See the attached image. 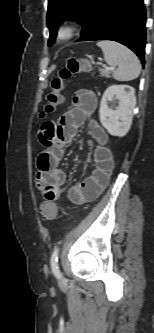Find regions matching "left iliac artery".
Instances as JSON below:
<instances>
[{
  "label": "left iliac artery",
  "instance_id": "1",
  "mask_svg": "<svg viewBox=\"0 0 154 333\" xmlns=\"http://www.w3.org/2000/svg\"><path fill=\"white\" fill-rule=\"evenodd\" d=\"M58 254H59V249L56 248L52 253L50 264H51V269H52V272L54 273V275L57 278H60L61 274H60L59 267H58Z\"/></svg>",
  "mask_w": 154,
  "mask_h": 333
}]
</instances>
